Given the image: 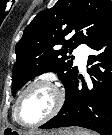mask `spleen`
I'll use <instances>...</instances> for the list:
<instances>
[{"mask_svg":"<svg viewBox=\"0 0 112 135\" xmlns=\"http://www.w3.org/2000/svg\"><path fill=\"white\" fill-rule=\"evenodd\" d=\"M79 135H96V134L82 130V131L79 132Z\"/></svg>","mask_w":112,"mask_h":135,"instance_id":"spleen-1","label":"spleen"}]
</instances>
